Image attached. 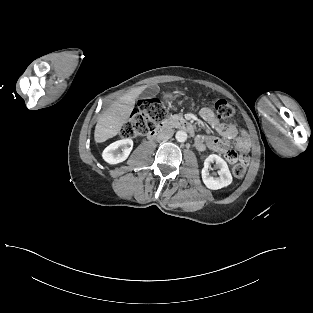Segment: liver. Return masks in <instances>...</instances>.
Instances as JSON below:
<instances>
[{"mask_svg":"<svg viewBox=\"0 0 313 313\" xmlns=\"http://www.w3.org/2000/svg\"><path fill=\"white\" fill-rule=\"evenodd\" d=\"M145 88L146 86H141L129 91L101 115L95 126L94 140L96 143L104 142L118 134L122 126L128 121L136 98Z\"/></svg>","mask_w":313,"mask_h":313,"instance_id":"liver-1","label":"liver"}]
</instances>
